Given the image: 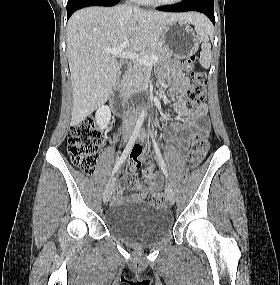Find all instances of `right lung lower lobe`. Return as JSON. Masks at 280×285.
Segmentation results:
<instances>
[{
  "label": "right lung lower lobe",
  "mask_w": 280,
  "mask_h": 285,
  "mask_svg": "<svg viewBox=\"0 0 280 285\" xmlns=\"http://www.w3.org/2000/svg\"><path fill=\"white\" fill-rule=\"evenodd\" d=\"M120 0H68L67 20L78 9L87 6H114Z\"/></svg>",
  "instance_id": "obj_1"
}]
</instances>
